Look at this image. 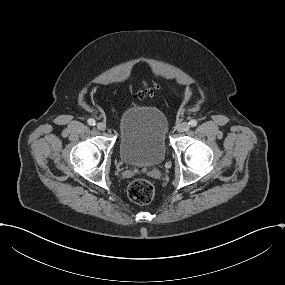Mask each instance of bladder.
Instances as JSON below:
<instances>
[{"label": "bladder", "mask_w": 285, "mask_h": 285, "mask_svg": "<svg viewBox=\"0 0 285 285\" xmlns=\"http://www.w3.org/2000/svg\"><path fill=\"white\" fill-rule=\"evenodd\" d=\"M118 154L121 161L134 167L162 163L167 152L168 122L161 109L128 108L119 120Z\"/></svg>", "instance_id": "1"}]
</instances>
